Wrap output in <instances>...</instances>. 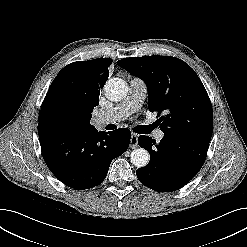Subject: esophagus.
I'll list each match as a JSON object with an SVG mask.
<instances>
[{
  "label": "esophagus",
  "mask_w": 247,
  "mask_h": 247,
  "mask_svg": "<svg viewBox=\"0 0 247 247\" xmlns=\"http://www.w3.org/2000/svg\"><path fill=\"white\" fill-rule=\"evenodd\" d=\"M138 146V135L132 133L130 138V148L135 149Z\"/></svg>",
  "instance_id": "34e87169"
}]
</instances>
